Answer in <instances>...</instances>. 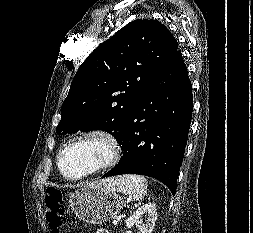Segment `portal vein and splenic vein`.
<instances>
[{"label":"portal vein and splenic vein","instance_id":"obj_1","mask_svg":"<svg viewBox=\"0 0 253 233\" xmlns=\"http://www.w3.org/2000/svg\"><path fill=\"white\" fill-rule=\"evenodd\" d=\"M120 218H121V215L118 216V218H116L115 220H113V224H114V225H117V223H118V221L120 220Z\"/></svg>","mask_w":253,"mask_h":233}]
</instances>
